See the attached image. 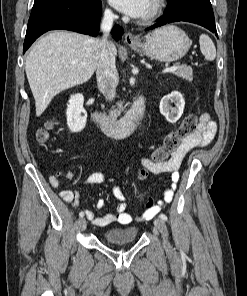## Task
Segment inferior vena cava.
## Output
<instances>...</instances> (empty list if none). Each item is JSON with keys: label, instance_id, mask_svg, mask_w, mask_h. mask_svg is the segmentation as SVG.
I'll return each mask as SVG.
<instances>
[{"label": "inferior vena cava", "instance_id": "1", "mask_svg": "<svg viewBox=\"0 0 247 296\" xmlns=\"http://www.w3.org/2000/svg\"><path fill=\"white\" fill-rule=\"evenodd\" d=\"M116 15L110 10L104 12L101 21V29L104 33L100 41V51L97 63V83L106 100L112 101L116 96L117 70L115 66V55L113 53V43L108 40V33L113 26Z\"/></svg>", "mask_w": 247, "mask_h": 296}]
</instances>
